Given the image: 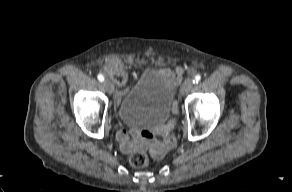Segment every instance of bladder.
Wrapping results in <instances>:
<instances>
[{"mask_svg":"<svg viewBox=\"0 0 292 192\" xmlns=\"http://www.w3.org/2000/svg\"><path fill=\"white\" fill-rule=\"evenodd\" d=\"M174 87L161 72L148 69L122 95L119 118L130 126H157L171 116Z\"/></svg>","mask_w":292,"mask_h":192,"instance_id":"obj_1","label":"bladder"}]
</instances>
